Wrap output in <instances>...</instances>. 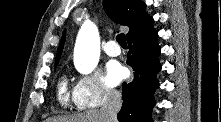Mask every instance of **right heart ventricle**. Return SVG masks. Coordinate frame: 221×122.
I'll return each mask as SVG.
<instances>
[{
	"label": "right heart ventricle",
	"instance_id": "right-heart-ventricle-1",
	"mask_svg": "<svg viewBox=\"0 0 221 122\" xmlns=\"http://www.w3.org/2000/svg\"><path fill=\"white\" fill-rule=\"evenodd\" d=\"M57 97H58L59 102L63 106H67L69 104L70 94L68 91L67 80L64 77L58 83Z\"/></svg>",
	"mask_w": 221,
	"mask_h": 122
}]
</instances>
